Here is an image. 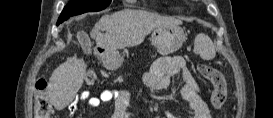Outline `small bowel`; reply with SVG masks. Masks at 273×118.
Returning <instances> with one entry per match:
<instances>
[{
  "mask_svg": "<svg viewBox=\"0 0 273 118\" xmlns=\"http://www.w3.org/2000/svg\"><path fill=\"white\" fill-rule=\"evenodd\" d=\"M177 76L182 78V82L179 85V92L189 103L192 118H210L208 103L203 99L200 87L188 69L184 58L180 56L158 58L145 74L143 84L151 90L161 91L167 88ZM78 99L85 100L90 108H98L103 103L113 101V117H129L127 111L130 99L129 90L114 91L105 89L98 95H92L88 91H84L78 96ZM76 103L77 101H74L68 106L71 114L76 111ZM165 117L175 118L174 112L172 110L166 111Z\"/></svg>",
  "mask_w": 273,
  "mask_h": 118,
  "instance_id": "c3829d8e",
  "label": "small bowel"
}]
</instances>
